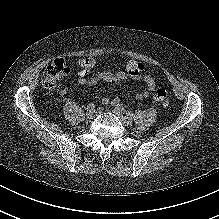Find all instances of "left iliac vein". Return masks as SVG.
<instances>
[{
	"mask_svg": "<svg viewBox=\"0 0 219 219\" xmlns=\"http://www.w3.org/2000/svg\"><path fill=\"white\" fill-rule=\"evenodd\" d=\"M112 111L124 125L129 126L132 124V118L129 117L125 112H122L118 106H116Z\"/></svg>",
	"mask_w": 219,
	"mask_h": 219,
	"instance_id": "1",
	"label": "left iliac vein"
}]
</instances>
